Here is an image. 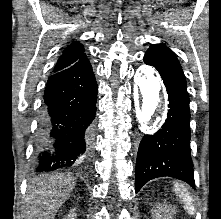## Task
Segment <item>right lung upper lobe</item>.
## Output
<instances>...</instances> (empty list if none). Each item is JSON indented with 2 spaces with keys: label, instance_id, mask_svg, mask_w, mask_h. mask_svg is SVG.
Listing matches in <instances>:
<instances>
[{
  "label": "right lung upper lobe",
  "instance_id": "right-lung-upper-lobe-1",
  "mask_svg": "<svg viewBox=\"0 0 221 219\" xmlns=\"http://www.w3.org/2000/svg\"><path fill=\"white\" fill-rule=\"evenodd\" d=\"M86 56L84 54V47L79 42L71 43L58 59L54 68V72H59L75 64L80 58Z\"/></svg>",
  "mask_w": 221,
  "mask_h": 219
}]
</instances>
